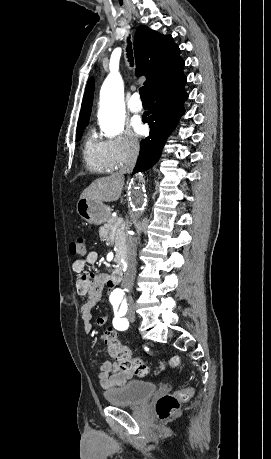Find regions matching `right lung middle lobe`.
Returning <instances> with one entry per match:
<instances>
[{
  "label": "right lung middle lobe",
  "mask_w": 271,
  "mask_h": 459,
  "mask_svg": "<svg viewBox=\"0 0 271 459\" xmlns=\"http://www.w3.org/2000/svg\"><path fill=\"white\" fill-rule=\"evenodd\" d=\"M87 123H88V120H83V121H79V122H78L77 134H76L77 140H79V139L81 138L82 132H83V130L85 129Z\"/></svg>",
  "instance_id": "right-lung-middle-lobe-1"
}]
</instances>
